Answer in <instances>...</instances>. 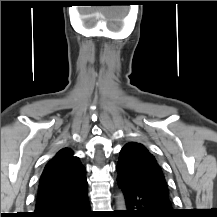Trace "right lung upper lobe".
<instances>
[{"instance_id": "obj_1", "label": "right lung upper lobe", "mask_w": 217, "mask_h": 217, "mask_svg": "<svg viewBox=\"0 0 217 217\" xmlns=\"http://www.w3.org/2000/svg\"><path fill=\"white\" fill-rule=\"evenodd\" d=\"M86 169L73 151L61 149L45 166L39 181L35 209L87 191Z\"/></svg>"}]
</instances>
